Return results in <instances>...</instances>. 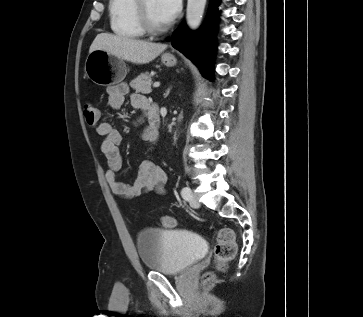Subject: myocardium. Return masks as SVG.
Here are the masks:
<instances>
[{"instance_id": "myocardium-1", "label": "myocardium", "mask_w": 363, "mask_h": 317, "mask_svg": "<svg viewBox=\"0 0 363 317\" xmlns=\"http://www.w3.org/2000/svg\"><path fill=\"white\" fill-rule=\"evenodd\" d=\"M146 0H135L134 3V13L136 20L141 27V29L150 35H157L165 32L168 28L167 25L155 26L149 19L146 7Z\"/></svg>"}]
</instances>
